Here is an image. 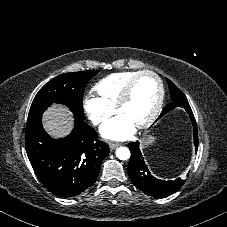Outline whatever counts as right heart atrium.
I'll return each mask as SVG.
<instances>
[{"instance_id":"right-heart-atrium-1","label":"right heart atrium","mask_w":227,"mask_h":227,"mask_svg":"<svg viewBox=\"0 0 227 227\" xmlns=\"http://www.w3.org/2000/svg\"><path fill=\"white\" fill-rule=\"evenodd\" d=\"M83 109L94 125L101 124L114 112V107L108 105L98 96L92 94H89L84 98Z\"/></svg>"}]
</instances>
